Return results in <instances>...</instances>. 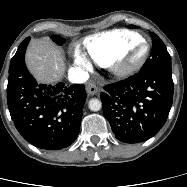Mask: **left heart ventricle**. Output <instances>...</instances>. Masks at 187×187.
Masks as SVG:
<instances>
[{
    "instance_id": "1",
    "label": "left heart ventricle",
    "mask_w": 187,
    "mask_h": 187,
    "mask_svg": "<svg viewBox=\"0 0 187 187\" xmlns=\"http://www.w3.org/2000/svg\"><path fill=\"white\" fill-rule=\"evenodd\" d=\"M145 46L144 45H139L134 49L131 55V61L137 60L144 52Z\"/></svg>"
}]
</instances>
